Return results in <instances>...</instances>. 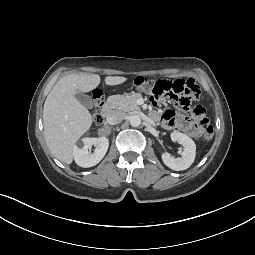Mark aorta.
I'll list each match as a JSON object with an SVG mask.
<instances>
[{"instance_id": "aorta-1", "label": "aorta", "mask_w": 255, "mask_h": 255, "mask_svg": "<svg viewBox=\"0 0 255 255\" xmlns=\"http://www.w3.org/2000/svg\"><path fill=\"white\" fill-rule=\"evenodd\" d=\"M131 126L138 127L141 124V118L138 115H132L129 118Z\"/></svg>"}]
</instances>
